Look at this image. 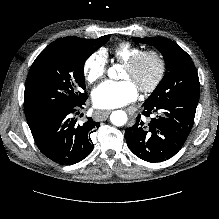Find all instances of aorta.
Returning a JSON list of instances; mask_svg holds the SVG:
<instances>
[{
    "mask_svg": "<svg viewBox=\"0 0 219 219\" xmlns=\"http://www.w3.org/2000/svg\"><path fill=\"white\" fill-rule=\"evenodd\" d=\"M118 65L110 67L107 71L109 78L115 79L117 77ZM110 121L115 126H124L127 123V114L122 110L112 112L110 115Z\"/></svg>",
    "mask_w": 219,
    "mask_h": 219,
    "instance_id": "aorta-1",
    "label": "aorta"
}]
</instances>
